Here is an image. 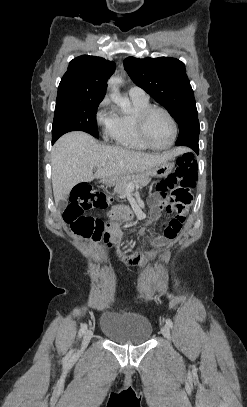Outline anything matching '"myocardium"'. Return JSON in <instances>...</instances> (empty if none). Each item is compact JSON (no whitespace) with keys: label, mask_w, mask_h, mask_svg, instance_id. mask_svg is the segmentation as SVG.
<instances>
[{"label":"myocardium","mask_w":247,"mask_h":407,"mask_svg":"<svg viewBox=\"0 0 247 407\" xmlns=\"http://www.w3.org/2000/svg\"><path fill=\"white\" fill-rule=\"evenodd\" d=\"M154 111H160V112L164 113L169 118V120L171 121L172 126H173V136L171 138V141L169 142V144H167L166 146H163V147L155 146L154 144H152L146 134L147 119L150 116V114ZM136 130H137L140 140L148 148L153 149V150L162 151V150L169 149L175 143L177 136H178V123H177L176 119L174 118V116L166 108H163L161 106H156V105H150L138 113V115L136 117Z\"/></svg>","instance_id":"f54148a6"}]
</instances>
